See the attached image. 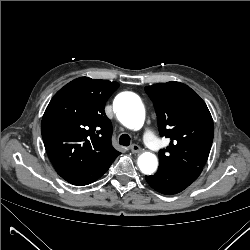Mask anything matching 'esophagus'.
Wrapping results in <instances>:
<instances>
[{"label":"esophagus","instance_id":"esophagus-1","mask_svg":"<svg viewBox=\"0 0 250 250\" xmlns=\"http://www.w3.org/2000/svg\"><path fill=\"white\" fill-rule=\"evenodd\" d=\"M130 150L132 153H140L141 152V148L137 144L131 145Z\"/></svg>","mask_w":250,"mask_h":250}]
</instances>
